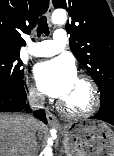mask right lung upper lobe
Returning a JSON list of instances; mask_svg holds the SVG:
<instances>
[{"label":"right lung upper lobe","instance_id":"obj_1","mask_svg":"<svg viewBox=\"0 0 114 156\" xmlns=\"http://www.w3.org/2000/svg\"><path fill=\"white\" fill-rule=\"evenodd\" d=\"M48 7L49 0H0V53L20 54L21 34L29 33Z\"/></svg>","mask_w":114,"mask_h":156}]
</instances>
